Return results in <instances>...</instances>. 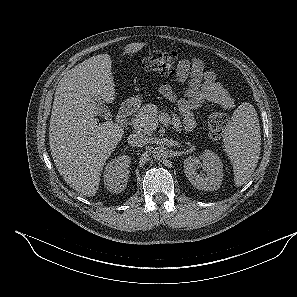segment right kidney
Returning a JSON list of instances; mask_svg holds the SVG:
<instances>
[{
    "label": "right kidney",
    "instance_id": "1",
    "mask_svg": "<svg viewBox=\"0 0 297 297\" xmlns=\"http://www.w3.org/2000/svg\"><path fill=\"white\" fill-rule=\"evenodd\" d=\"M131 159L128 155H121L107 163L104 172L105 187L114 193L122 192L128 182Z\"/></svg>",
    "mask_w": 297,
    "mask_h": 297
}]
</instances>
